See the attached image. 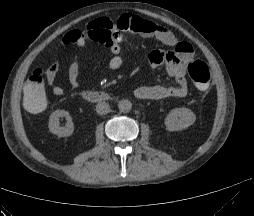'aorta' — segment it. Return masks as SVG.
Segmentation results:
<instances>
[{"instance_id": "obj_1", "label": "aorta", "mask_w": 254, "mask_h": 216, "mask_svg": "<svg viewBox=\"0 0 254 216\" xmlns=\"http://www.w3.org/2000/svg\"><path fill=\"white\" fill-rule=\"evenodd\" d=\"M118 108L120 112L127 113L132 109V103L127 99H123L119 101Z\"/></svg>"}]
</instances>
